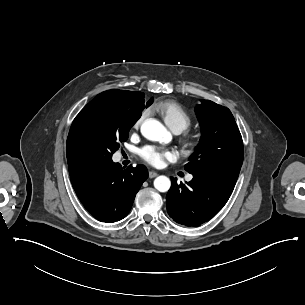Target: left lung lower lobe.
Wrapping results in <instances>:
<instances>
[{
	"mask_svg": "<svg viewBox=\"0 0 305 305\" xmlns=\"http://www.w3.org/2000/svg\"><path fill=\"white\" fill-rule=\"evenodd\" d=\"M193 179L178 184L171 178L166 196L167 212L177 223L200 226L214 217L231 196L237 178L191 173Z\"/></svg>",
	"mask_w": 305,
	"mask_h": 305,
	"instance_id": "obj_1",
	"label": "left lung lower lobe"
}]
</instances>
